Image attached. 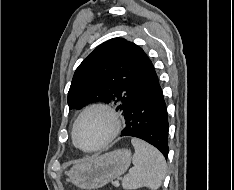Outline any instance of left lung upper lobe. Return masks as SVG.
Segmentation results:
<instances>
[{"label": "left lung upper lobe", "mask_w": 234, "mask_h": 190, "mask_svg": "<svg viewBox=\"0 0 234 190\" xmlns=\"http://www.w3.org/2000/svg\"><path fill=\"white\" fill-rule=\"evenodd\" d=\"M145 52L123 38L99 45L76 69L68 92L70 109L103 101L118 105L125 115L128 104L148 79Z\"/></svg>", "instance_id": "left-lung-upper-lobe-1"}]
</instances>
